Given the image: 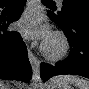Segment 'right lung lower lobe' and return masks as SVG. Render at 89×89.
Listing matches in <instances>:
<instances>
[{"label":"right lung lower lobe","mask_w":89,"mask_h":89,"mask_svg":"<svg viewBox=\"0 0 89 89\" xmlns=\"http://www.w3.org/2000/svg\"><path fill=\"white\" fill-rule=\"evenodd\" d=\"M7 2L8 0H0V7H4ZM25 2L26 0H14L7 18L0 21V78L28 83L32 68L26 46L18 32L6 30L9 23L19 19Z\"/></svg>","instance_id":"1"}]
</instances>
